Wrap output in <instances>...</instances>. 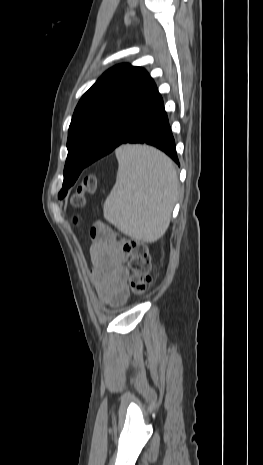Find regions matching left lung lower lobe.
Masks as SVG:
<instances>
[{"label":"left lung lower lobe","mask_w":263,"mask_h":465,"mask_svg":"<svg viewBox=\"0 0 263 465\" xmlns=\"http://www.w3.org/2000/svg\"><path fill=\"white\" fill-rule=\"evenodd\" d=\"M126 143L149 144L164 151L178 165L175 141L164 110L163 100L153 79L148 75L135 98L120 109L102 134L86 166ZM78 161L66 160L64 175Z\"/></svg>","instance_id":"0a47b994"}]
</instances>
